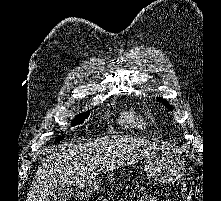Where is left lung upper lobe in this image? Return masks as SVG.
<instances>
[{
	"label": "left lung upper lobe",
	"instance_id": "obj_1",
	"mask_svg": "<svg viewBox=\"0 0 221 201\" xmlns=\"http://www.w3.org/2000/svg\"><path fill=\"white\" fill-rule=\"evenodd\" d=\"M160 102H162L165 106H167L169 109H171V106L170 104L165 100V99H162V98H157Z\"/></svg>",
	"mask_w": 221,
	"mask_h": 201
}]
</instances>
